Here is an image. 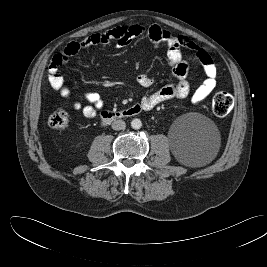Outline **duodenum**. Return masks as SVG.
<instances>
[{"instance_id": "1", "label": "duodenum", "mask_w": 267, "mask_h": 267, "mask_svg": "<svg viewBox=\"0 0 267 267\" xmlns=\"http://www.w3.org/2000/svg\"><path fill=\"white\" fill-rule=\"evenodd\" d=\"M141 111H142V108L140 107V105L135 104L126 109H122L118 111H103L101 114V118L104 122H109V121L136 116L140 114Z\"/></svg>"}]
</instances>
